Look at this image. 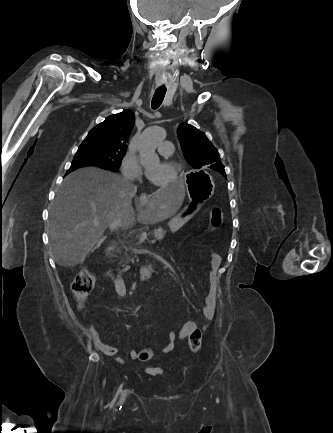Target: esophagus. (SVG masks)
I'll return each mask as SVG.
<instances>
[{"label":"esophagus","mask_w":333,"mask_h":433,"mask_svg":"<svg viewBox=\"0 0 333 433\" xmlns=\"http://www.w3.org/2000/svg\"><path fill=\"white\" fill-rule=\"evenodd\" d=\"M140 199H141L142 201L147 200V195H146V193H142L141 196H140Z\"/></svg>","instance_id":"1"}]
</instances>
